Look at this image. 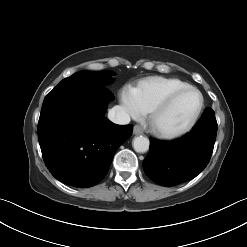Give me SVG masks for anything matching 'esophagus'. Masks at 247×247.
<instances>
[{"label":"esophagus","instance_id":"1","mask_svg":"<svg viewBox=\"0 0 247 247\" xmlns=\"http://www.w3.org/2000/svg\"><path fill=\"white\" fill-rule=\"evenodd\" d=\"M133 133L135 135H140V134H143V130L139 125H135L133 129Z\"/></svg>","mask_w":247,"mask_h":247}]
</instances>
